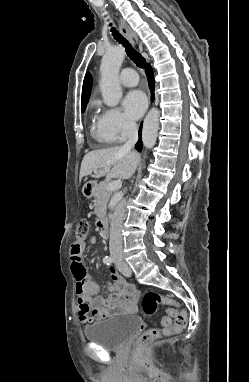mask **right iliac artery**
<instances>
[{"mask_svg":"<svg viewBox=\"0 0 249 382\" xmlns=\"http://www.w3.org/2000/svg\"><path fill=\"white\" fill-rule=\"evenodd\" d=\"M103 262L107 265H110L113 262V258L111 256H105L103 258Z\"/></svg>","mask_w":249,"mask_h":382,"instance_id":"obj_1","label":"right iliac artery"}]
</instances>
